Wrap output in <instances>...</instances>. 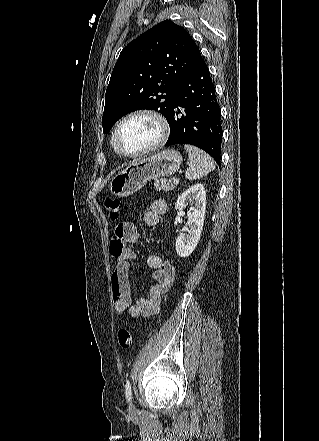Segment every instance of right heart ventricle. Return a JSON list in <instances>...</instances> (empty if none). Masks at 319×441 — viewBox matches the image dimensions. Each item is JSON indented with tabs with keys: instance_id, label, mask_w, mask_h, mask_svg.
Here are the masks:
<instances>
[{
	"instance_id": "obj_1",
	"label": "right heart ventricle",
	"mask_w": 319,
	"mask_h": 441,
	"mask_svg": "<svg viewBox=\"0 0 319 441\" xmlns=\"http://www.w3.org/2000/svg\"><path fill=\"white\" fill-rule=\"evenodd\" d=\"M111 144H112L114 150L117 152V150H116L115 147H114L113 136H112V139H111Z\"/></svg>"
}]
</instances>
